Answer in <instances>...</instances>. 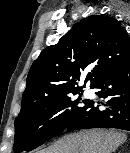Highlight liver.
I'll return each mask as SVG.
<instances>
[{
	"label": "liver",
	"instance_id": "liver-1",
	"mask_svg": "<svg viewBox=\"0 0 130 153\" xmlns=\"http://www.w3.org/2000/svg\"><path fill=\"white\" fill-rule=\"evenodd\" d=\"M127 139L115 130L91 129L65 135L39 153H113Z\"/></svg>",
	"mask_w": 130,
	"mask_h": 153
}]
</instances>
